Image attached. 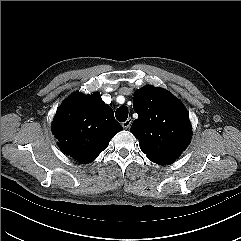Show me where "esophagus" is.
<instances>
[{
	"instance_id": "1",
	"label": "esophagus",
	"mask_w": 241,
	"mask_h": 241,
	"mask_svg": "<svg viewBox=\"0 0 241 241\" xmlns=\"http://www.w3.org/2000/svg\"><path fill=\"white\" fill-rule=\"evenodd\" d=\"M131 124H132V119H131V118H128L126 121H124V122L122 123V127H123L124 129H128V128L131 126Z\"/></svg>"
}]
</instances>
